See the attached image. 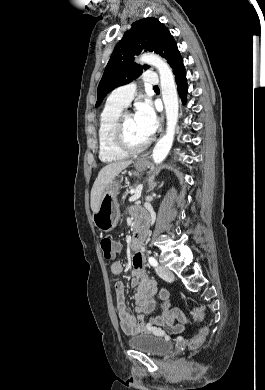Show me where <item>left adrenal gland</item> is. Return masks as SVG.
<instances>
[{
  "label": "left adrenal gland",
  "instance_id": "left-adrenal-gland-1",
  "mask_svg": "<svg viewBox=\"0 0 265 390\" xmlns=\"http://www.w3.org/2000/svg\"><path fill=\"white\" fill-rule=\"evenodd\" d=\"M149 189H148V191L147 192H150V191H152L156 186H157V184L159 183V182H155L154 181V176H152V177H150L149 178ZM163 183V182H162Z\"/></svg>",
  "mask_w": 265,
  "mask_h": 390
}]
</instances>
